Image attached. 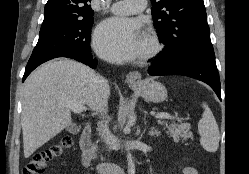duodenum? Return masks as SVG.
<instances>
[{
	"label": "duodenum",
	"mask_w": 249,
	"mask_h": 174,
	"mask_svg": "<svg viewBox=\"0 0 249 174\" xmlns=\"http://www.w3.org/2000/svg\"><path fill=\"white\" fill-rule=\"evenodd\" d=\"M92 126L87 124L80 137L81 164L85 169H89L95 174H125V168L115 163H104L91 166L93 158L92 150Z\"/></svg>",
	"instance_id": "obj_1"
}]
</instances>
